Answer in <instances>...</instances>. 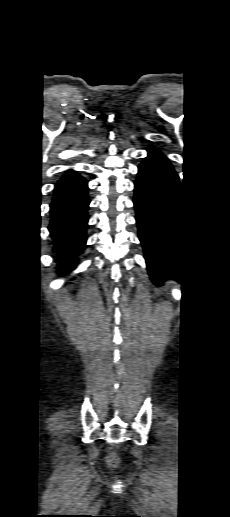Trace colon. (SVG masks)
<instances>
[{
	"instance_id": "obj_1",
	"label": "colon",
	"mask_w": 230,
	"mask_h": 517,
	"mask_svg": "<svg viewBox=\"0 0 230 517\" xmlns=\"http://www.w3.org/2000/svg\"><path fill=\"white\" fill-rule=\"evenodd\" d=\"M108 463L110 466L116 467L118 465V458L115 454H110L108 456Z\"/></svg>"
}]
</instances>
